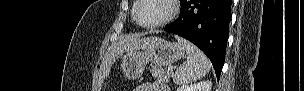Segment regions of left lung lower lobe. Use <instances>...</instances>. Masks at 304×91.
Instances as JSON below:
<instances>
[{
  "label": "left lung lower lobe",
  "instance_id": "0a47b994",
  "mask_svg": "<svg viewBox=\"0 0 304 91\" xmlns=\"http://www.w3.org/2000/svg\"><path fill=\"white\" fill-rule=\"evenodd\" d=\"M179 18L164 28L198 46L210 59L217 79L224 65L231 0H181Z\"/></svg>",
  "mask_w": 304,
  "mask_h": 91
}]
</instances>
